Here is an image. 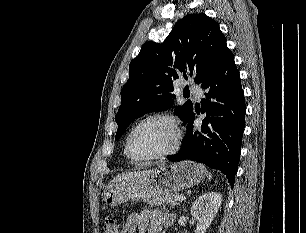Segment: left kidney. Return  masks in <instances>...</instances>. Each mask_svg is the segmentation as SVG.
<instances>
[{"label": "left kidney", "mask_w": 306, "mask_h": 233, "mask_svg": "<svg viewBox=\"0 0 306 233\" xmlns=\"http://www.w3.org/2000/svg\"><path fill=\"white\" fill-rule=\"evenodd\" d=\"M221 202L222 195L217 192L204 193L194 201L191 215L198 221L195 233L206 232L217 214Z\"/></svg>", "instance_id": "obj_1"}]
</instances>
